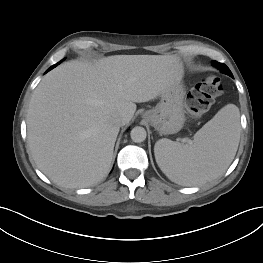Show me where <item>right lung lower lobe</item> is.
<instances>
[{
  "instance_id": "obj_1",
  "label": "right lung lower lobe",
  "mask_w": 263,
  "mask_h": 263,
  "mask_svg": "<svg viewBox=\"0 0 263 263\" xmlns=\"http://www.w3.org/2000/svg\"><path fill=\"white\" fill-rule=\"evenodd\" d=\"M60 62H61V61H60ZM60 62H59V63H60ZM59 63H57V64L53 65L52 67H50V68L47 70V72L50 71L51 69H53L54 67H56Z\"/></svg>"
}]
</instances>
